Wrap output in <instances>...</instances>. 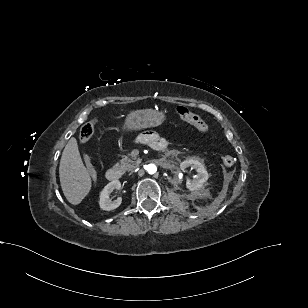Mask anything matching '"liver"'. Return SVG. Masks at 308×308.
Returning <instances> with one entry per match:
<instances>
[{
	"label": "liver",
	"mask_w": 308,
	"mask_h": 308,
	"mask_svg": "<svg viewBox=\"0 0 308 308\" xmlns=\"http://www.w3.org/2000/svg\"><path fill=\"white\" fill-rule=\"evenodd\" d=\"M59 177L62 191L73 205L79 204L91 189V177L82 162L74 137L70 138L62 152Z\"/></svg>",
	"instance_id": "obj_1"
}]
</instances>
